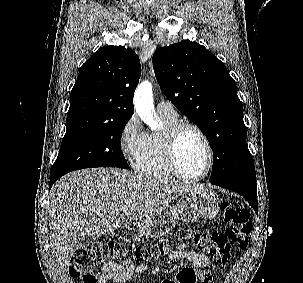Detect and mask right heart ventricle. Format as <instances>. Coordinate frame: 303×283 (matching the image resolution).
<instances>
[{"label": "right heart ventricle", "instance_id": "1", "mask_svg": "<svg viewBox=\"0 0 303 283\" xmlns=\"http://www.w3.org/2000/svg\"><path fill=\"white\" fill-rule=\"evenodd\" d=\"M164 123L161 131L147 134L145 145L135 161L136 170L143 176L157 179H175L177 176L171 170L165 154L164 132L178 122L177 115L168 116L159 113Z\"/></svg>", "mask_w": 303, "mask_h": 283}]
</instances>
